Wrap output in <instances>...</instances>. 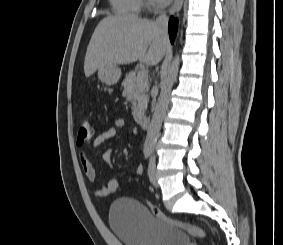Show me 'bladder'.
<instances>
[{
	"instance_id": "1",
	"label": "bladder",
	"mask_w": 283,
	"mask_h": 245,
	"mask_svg": "<svg viewBox=\"0 0 283 245\" xmlns=\"http://www.w3.org/2000/svg\"><path fill=\"white\" fill-rule=\"evenodd\" d=\"M112 230L125 245H190L189 236L156 217L145 204L115 200L109 209Z\"/></svg>"
}]
</instances>
